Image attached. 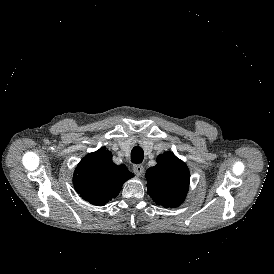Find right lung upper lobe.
Listing matches in <instances>:
<instances>
[{"label":"right lung upper lobe","instance_id":"right-lung-upper-lobe-1","mask_svg":"<svg viewBox=\"0 0 274 274\" xmlns=\"http://www.w3.org/2000/svg\"><path fill=\"white\" fill-rule=\"evenodd\" d=\"M133 173L127 167L115 165L112 154L105 147L87 154L77 165L73 184L80 196L93 205L103 206L116 197L125 181Z\"/></svg>","mask_w":274,"mask_h":274}]
</instances>
